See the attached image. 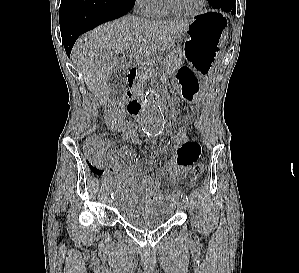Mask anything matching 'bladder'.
Returning a JSON list of instances; mask_svg holds the SVG:
<instances>
[{
	"instance_id": "obj_1",
	"label": "bladder",
	"mask_w": 299,
	"mask_h": 273,
	"mask_svg": "<svg viewBox=\"0 0 299 273\" xmlns=\"http://www.w3.org/2000/svg\"><path fill=\"white\" fill-rule=\"evenodd\" d=\"M174 203L168 208L156 209L149 215H141L137 212H120V218L129 226L138 230H151L166 224L172 217Z\"/></svg>"
}]
</instances>
